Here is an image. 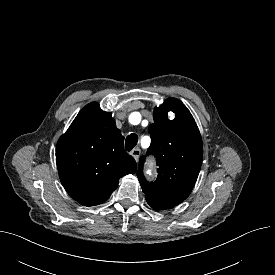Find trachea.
Instances as JSON below:
<instances>
[{
  "instance_id": "3493384b",
  "label": "trachea",
  "mask_w": 275,
  "mask_h": 275,
  "mask_svg": "<svg viewBox=\"0 0 275 275\" xmlns=\"http://www.w3.org/2000/svg\"><path fill=\"white\" fill-rule=\"evenodd\" d=\"M138 142V136L136 134H130L127 136L126 141H125V146L127 151H131L137 144Z\"/></svg>"
}]
</instances>
